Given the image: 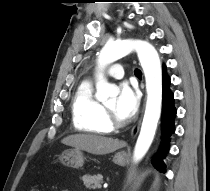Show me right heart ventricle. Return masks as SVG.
<instances>
[{
  "label": "right heart ventricle",
  "mask_w": 210,
  "mask_h": 191,
  "mask_svg": "<svg viewBox=\"0 0 210 191\" xmlns=\"http://www.w3.org/2000/svg\"><path fill=\"white\" fill-rule=\"evenodd\" d=\"M72 117L79 132L101 135L111 131L104 106L95 98L90 81L79 85L72 101Z\"/></svg>",
  "instance_id": "obj_1"
}]
</instances>
